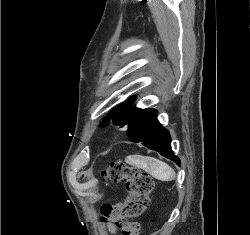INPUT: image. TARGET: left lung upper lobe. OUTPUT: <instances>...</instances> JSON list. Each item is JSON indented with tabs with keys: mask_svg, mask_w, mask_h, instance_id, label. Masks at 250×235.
Wrapping results in <instances>:
<instances>
[{
	"mask_svg": "<svg viewBox=\"0 0 250 235\" xmlns=\"http://www.w3.org/2000/svg\"><path fill=\"white\" fill-rule=\"evenodd\" d=\"M133 102L134 98H130L126 102L119 105L117 108L112 109L108 117H106L104 121L101 123V126H107L109 124L110 118L117 125L120 126L127 125L129 121L130 108Z\"/></svg>",
	"mask_w": 250,
	"mask_h": 235,
	"instance_id": "left-lung-upper-lobe-1",
	"label": "left lung upper lobe"
}]
</instances>
